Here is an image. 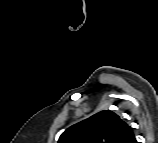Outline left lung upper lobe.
<instances>
[{"label":"left lung upper lobe","mask_w":158,"mask_h":143,"mask_svg":"<svg viewBox=\"0 0 158 143\" xmlns=\"http://www.w3.org/2000/svg\"><path fill=\"white\" fill-rule=\"evenodd\" d=\"M133 130L116 113L104 110L72 125L58 143H135Z\"/></svg>","instance_id":"5c2ea615"}]
</instances>
